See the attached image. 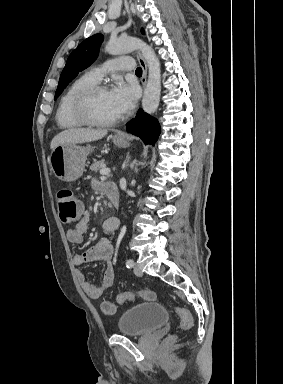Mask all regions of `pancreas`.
I'll return each mask as SVG.
<instances>
[{"label":"pancreas","instance_id":"cf45deb5","mask_svg":"<svg viewBox=\"0 0 283 384\" xmlns=\"http://www.w3.org/2000/svg\"><path fill=\"white\" fill-rule=\"evenodd\" d=\"M100 168H106L105 160H100V162H94V164L90 166V170H93V172H98Z\"/></svg>","mask_w":283,"mask_h":384}]
</instances>
